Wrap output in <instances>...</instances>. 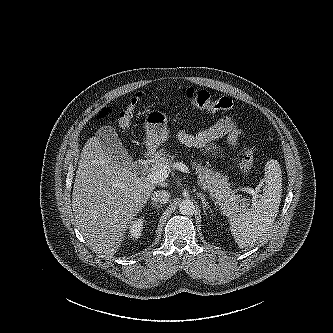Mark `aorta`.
<instances>
[{
  "label": "aorta",
  "instance_id": "762f6f07",
  "mask_svg": "<svg viewBox=\"0 0 333 333\" xmlns=\"http://www.w3.org/2000/svg\"><path fill=\"white\" fill-rule=\"evenodd\" d=\"M179 212L182 215H187V216L193 215L195 212L194 203L189 199L181 201L179 204Z\"/></svg>",
  "mask_w": 333,
  "mask_h": 333
}]
</instances>
